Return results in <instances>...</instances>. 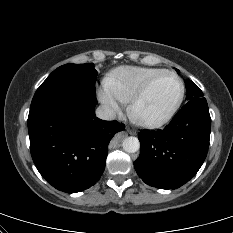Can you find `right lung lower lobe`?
<instances>
[{
	"instance_id": "obj_1",
	"label": "right lung lower lobe",
	"mask_w": 233,
	"mask_h": 233,
	"mask_svg": "<svg viewBox=\"0 0 233 233\" xmlns=\"http://www.w3.org/2000/svg\"><path fill=\"white\" fill-rule=\"evenodd\" d=\"M96 98L57 97L30 107L33 161L56 189L76 193L93 186L105 169L108 144L123 124L96 117Z\"/></svg>"
}]
</instances>
